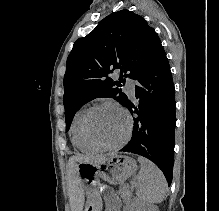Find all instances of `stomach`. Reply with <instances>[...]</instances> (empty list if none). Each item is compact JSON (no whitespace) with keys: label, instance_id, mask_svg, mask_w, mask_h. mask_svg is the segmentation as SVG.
Masks as SVG:
<instances>
[{"label":"stomach","instance_id":"obj_1","mask_svg":"<svg viewBox=\"0 0 219 211\" xmlns=\"http://www.w3.org/2000/svg\"><path fill=\"white\" fill-rule=\"evenodd\" d=\"M137 164L134 159L125 155L112 154L97 163L81 162L77 166V175L82 179L89 192L88 203L84 211H96L100 205V198L95 190L100 179L110 184H120L135 173Z\"/></svg>","mask_w":219,"mask_h":211}]
</instances>
